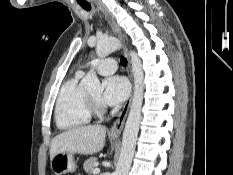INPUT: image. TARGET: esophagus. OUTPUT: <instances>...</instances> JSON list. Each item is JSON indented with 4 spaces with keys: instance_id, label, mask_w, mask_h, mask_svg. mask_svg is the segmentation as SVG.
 Listing matches in <instances>:
<instances>
[{
    "instance_id": "obj_1",
    "label": "esophagus",
    "mask_w": 233,
    "mask_h": 175,
    "mask_svg": "<svg viewBox=\"0 0 233 175\" xmlns=\"http://www.w3.org/2000/svg\"><path fill=\"white\" fill-rule=\"evenodd\" d=\"M97 6H98V8L100 10L103 11L106 19L108 20L109 24L112 27L113 32L124 43L125 42L124 35L122 34L119 26L116 24V22L114 21V19L111 18L106 12H104V10L102 9V7L98 3H97ZM123 51H124V53H125V55H126V57L128 59V68H127V71H128L129 78L132 81V70H131L130 60H129L128 51H127L126 47L123 48ZM131 100H132V94L129 97V99L127 100V102L125 103L123 109L121 110L120 114L118 115V118L116 119V121L112 125V127L110 129V134H112V135H119L122 132L123 127H124V123H125V119H126V116L128 114L129 107H130Z\"/></svg>"
}]
</instances>
